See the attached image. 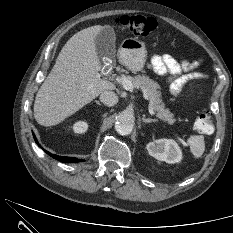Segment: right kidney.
<instances>
[{"instance_id":"ca27d5eb","label":"right kidney","mask_w":233,"mask_h":233,"mask_svg":"<svg viewBox=\"0 0 233 233\" xmlns=\"http://www.w3.org/2000/svg\"><path fill=\"white\" fill-rule=\"evenodd\" d=\"M72 129L75 133H84L88 129V124L85 121H77L73 124Z\"/></svg>"}]
</instances>
